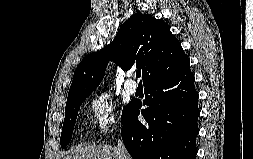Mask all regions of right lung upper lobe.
<instances>
[{"mask_svg": "<svg viewBox=\"0 0 253 159\" xmlns=\"http://www.w3.org/2000/svg\"><path fill=\"white\" fill-rule=\"evenodd\" d=\"M109 60L126 70L136 63L142 69L143 84L168 77L189 64L167 23L137 13L120 27L111 44L87 55L77 66L67 102L90 95L102 81Z\"/></svg>", "mask_w": 253, "mask_h": 159, "instance_id": "1", "label": "right lung upper lobe"}]
</instances>
